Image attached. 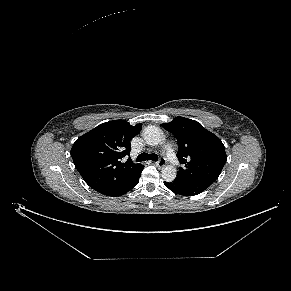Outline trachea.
<instances>
[{"instance_id": "obj_1", "label": "trachea", "mask_w": 291, "mask_h": 291, "mask_svg": "<svg viewBox=\"0 0 291 291\" xmlns=\"http://www.w3.org/2000/svg\"><path fill=\"white\" fill-rule=\"evenodd\" d=\"M146 160H152V161H158V156L156 154H148V153H142L138 156L137 161L142 162Z\"/></svg>"}]
</instances>
